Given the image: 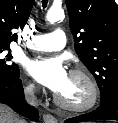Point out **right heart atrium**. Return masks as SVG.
Wrapping results in <instances>:
<instances>
[{
	"instance_id": "d8ad5b80",
	"label": "right heart atrium",
	"mask_w": 118,
	"mask_h": 123,
	"mask_svg": "<svg viewBox=\"0 0 118 123\" xmlns=\"http://www.w3.org/2000/svg\"><path fill=\"white\" fill-rule=\"evenodd\" d=\"M35 91V86L33 84H29L26 86V92L29 95H32Z\"/></svg>"
}]
</instances>
